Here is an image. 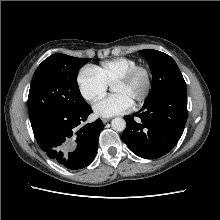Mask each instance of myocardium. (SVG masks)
I'll return each mask as SVG.
<instances>
[{
  "label": "myocardium",
  "mask_w": 220,
  "mask_h": 220,
  "mask_svg": "<svg viewBox=\"0 0 220 220\" xmlns=\"http://www.w3.org/2000/svg\"><path fill=\"white\" fill-rule=\"evenodd\" d=\"M139 74H143L145 77V87L143 93L135 101V105H139L146 101L149 97L152 87H153V73L151 69L144 65H137L125 73L122 77L114 82L112 86L116 85H126L132 82Z\"/></svg>",
  "instance_id": "obj_1"
}]
</instances>
